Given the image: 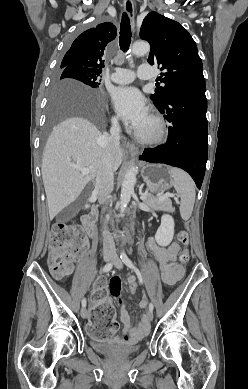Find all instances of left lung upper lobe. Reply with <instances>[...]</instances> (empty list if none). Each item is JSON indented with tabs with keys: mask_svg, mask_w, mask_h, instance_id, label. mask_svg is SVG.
Returning a JSON list of instances; mask_svg holds the SVG:
<instances>
[{
	"mask_svg": "<svg viewBox=\"0 0 248 389\" xmlns=\"http://www.w3.org/2000/svg\"><path fill=\"white\" fill-rule=\"evenodd\" d=\"M140 37L149 42L148 62L158 65L162 71L158 79L165 83L151 95L156 107L163 106L183 87L205 83L196 43L178 22L151 12L142 22Z\"/></svg>",
	"mask_w": 248,
	"mask_h": 389,
	"instance_id": "obj_1",
	"label": "left lung upper lobe"
}]
</instances>
